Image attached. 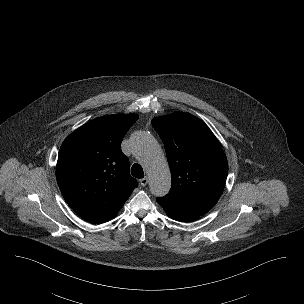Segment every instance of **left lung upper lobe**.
Listing matches in <instances>:
<instances>
[{"instance_id": "obj_1", "label": "left lung upper lobe", "mask_w": 304, "mask_h": 304, "mask_svg": "<svg viewBox=\"0 0 304 304\" xmlns=\"http://www.w3.org/2000/svg\"><path fill=\"white\" fill-rule=\"evenodd\" d=\"M152 125L161 137L171 170L172 187L163 199L203 215L219 200L227 178L224 152L208 126L183 112L157 117Z\"/></svg>"}]
</instances>
